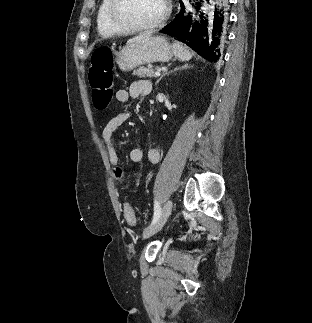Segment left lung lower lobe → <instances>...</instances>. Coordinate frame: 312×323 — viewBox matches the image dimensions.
Listing matches in <instances>:
<instances>
[{
    "label": "left lung lower lobe",
    "mask_w": 312,
    "mask_h": 323,
    "mask_svg": "<svg viewBox=\"0 0 312 323\" xmlns=\"http://www.w3.org/2000/svg\"><path fill=\"white\" fill-rule=\"evenodd\" d=\"M206 7L188 11L181 3L175 19L161 32L186 43L200 56L217 61L227 36L228 3L225 0H206Z\"/></svg>",
    "instance_id": "obj_1"
}]
</instances>
